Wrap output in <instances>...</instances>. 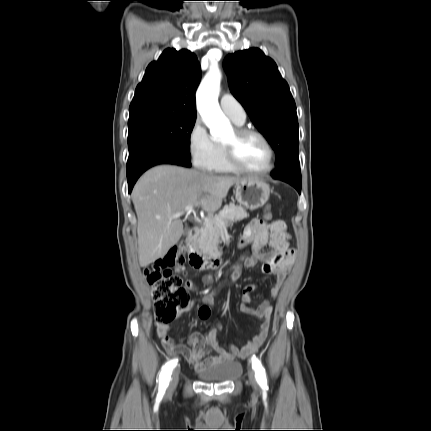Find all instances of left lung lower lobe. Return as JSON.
Here are the masks:
<instances>
[{
    "label": "left lung lower lobe",
    "mask_w": 431,
    "mask_h": 431,
    "mask_svg": "<svg viewBox=\"0 0 431 431\" xmlns=\"http://www.w3.org/2000/svg\"><path fill=\"white\" fill-rule=\"evenodd\" d=\"M277 179H280L282 181H285L289 184H291L293 187L296 188V190L300 193L301 192V178H292V177H279Z\"/></svg>",
    "instance_id": "1"
}]
</instances>
